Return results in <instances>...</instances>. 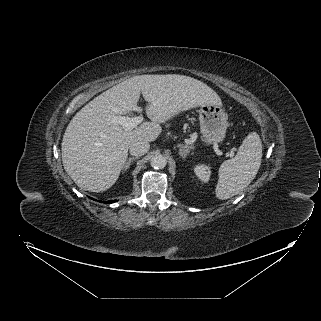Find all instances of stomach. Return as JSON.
Listing matches in <instances>:
<instances>
[{
	"mask_svg": "<svg viewBox=\"0 0 321 321\" xmlns=\"http://www.w3.org/2000/svg\"><path fill=\"white\" fill-rule=\"evenodd\" d=\"M201 134L207 143L222 142L228 126V116L221 105H203L198 110Z\"/></svg>",
	"mask_w": 321,
	"mask_h": 321,
	"instance_id": "1",
	"label": "stomach"
}]
</instances>
